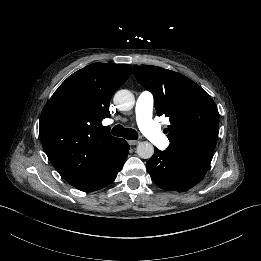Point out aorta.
I'll return each instance as SVG.
<instances>
[{
  "instance_id": "1",
  "label": "aorta",
  "mask_w": 261,
  "mask_h": 261,
  "mask_svg": "<svg viewBox=\"0 0 261 261\" xmlns=\"http://www.w3.org/2000/svg\"><path fill=\"white\" fill-rule=\"evenodd\" d=\"M113 102L122 111L131 110L135 103L132 92L126 89L119 90L115 93ZM137 154L143 159H149L154 154V147L151 143L145 141L137 146Z\"/></svg>"
}]
</instances>
